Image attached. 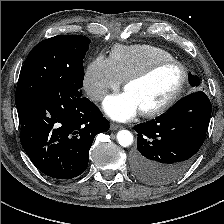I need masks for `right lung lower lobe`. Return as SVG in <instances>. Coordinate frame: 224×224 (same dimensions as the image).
<instances>
[{"mask_svg": "<svg viewBox=\"0 0 224 224\" xmlns=\"http://www.w3.org/2000/svg\"><path fill=\"white\" fill-rule=\"evenodd\" d=\"M17 111L25 152L41 172L57 179L82 174L95 136L109 129L99 108L82 93H36L18 105Z\"/></svg>", "mask_w": 224, "mask_h": 224, "instance_id": "98d812e1", "label": "right lung lower lobe"}]
</instances>
